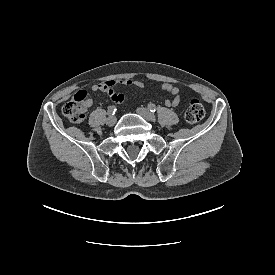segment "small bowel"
Masks as SVG:
<instances>
[{
  "instance_id": "obj_1",
  "label": "small bowel",
  "mask_w": 275,
  "mask_h": 275,
  "mask_svg": "<svg viewBox=\"0 0 275 275\" xmlns=\"http://www.w3.org/2000/svg\"><path fill=\"white\" fill-rule=\"evenodd\" d=\"M120 85H130L137 88H144L145 84L141 80L133 79H119V80H107L101 83H97L91 86L93 92H105L109 95L110 99L114 103H121L124 101L125 96L122 93L116 91L115 86ZM161 90L166 94L164 104L167 107H177L181 102L179 88L175 85L165 82L160 86ZM92 104V99H88V105Z\"/></svg>"
}]
</instances>
